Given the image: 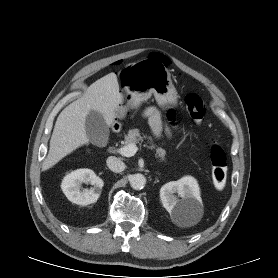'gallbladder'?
I'll list each match as a JSON object with an SVG mask.
<instances>
[{
    "label": "gallbladder",
    "instance_id": "gallbladder-1",
    "mask_svg": "<svg viewBox=\"0 0 278 278\" xmlns=\"http://www.w3.org/2000/svg\"><path fill=\"white\" fill-rule=\"evenodd\" d=\"M86 134L89 141L96 146H106L109 139V128L103 116L90 110L85 121Z\"/></svg>",
    "mask_w": 278,
    "mask_h": 278
}]
</instances>
